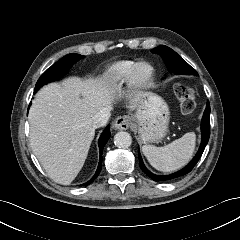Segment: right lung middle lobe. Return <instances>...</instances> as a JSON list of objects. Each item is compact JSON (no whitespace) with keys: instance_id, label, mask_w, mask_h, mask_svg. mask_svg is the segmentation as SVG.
Instances as JSON below:
<instances>
[{"instance_id":"1","label":"right lung middle lobe","mask_w":240,"mask_h":240,"mask_svg":"<svg viewBox=\"0 0 240 240\" xmlns=\"http://www.w3.org/2000/svg\"><path fill=\"white\" fill-rule=\"evenodd\" d=\"M84 57L85 56H82L80 54H68L62 57L58 62L48 68L40 76L35 86V92L44 84H47L62 77L75 62Z\"/></svg>"}]
</instances>
